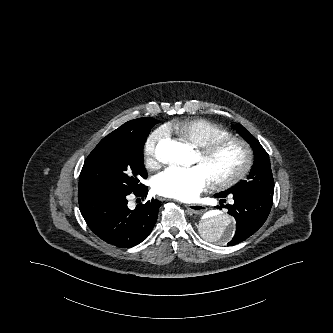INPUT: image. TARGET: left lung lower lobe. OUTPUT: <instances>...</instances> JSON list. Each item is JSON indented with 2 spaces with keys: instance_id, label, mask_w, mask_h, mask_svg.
<instances>
[{
  "instance_id": "0a47b994",
  "label": "left lung lower lobe",
  "mask_w": 333,
  "mask_h": 333,
  "mask_svg": "<svg viewBox=\"0 0 333 333\" xmlns=\"http://www.w3.org/2000/svg\"><path fill=\"white\" fill-rule=\"evenodd\" d=\"M226 191L215 194V197L225 198ZM234 204H227L228 213L236 220V232L228 245L240 243L254 234L266 221L273 198L253 193H233Z\"/></svg>"
}]
</instances>
